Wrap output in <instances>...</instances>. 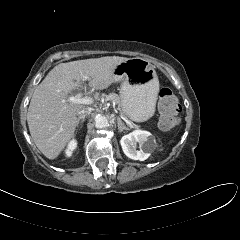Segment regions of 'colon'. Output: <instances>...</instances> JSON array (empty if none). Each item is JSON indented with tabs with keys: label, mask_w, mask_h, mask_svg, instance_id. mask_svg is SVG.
Wrapping results in <instances>:
<instances>
[{
	"label": "colon",
	"mask_w": 240,
	"mask_h": 240,
	"mask_svg": "<svg viewBox=\"0 0 240 240\" xmlns=\"http://www.w3.org/2000/svg\"><path fill=\"white\" fill-rule=\"evenodd\" d=\"M179 103L173 92L164 87L159 93L160 126L170 129L178 122Z\"/></svg>",
	"instance_id": "1"
}]
</instances>
